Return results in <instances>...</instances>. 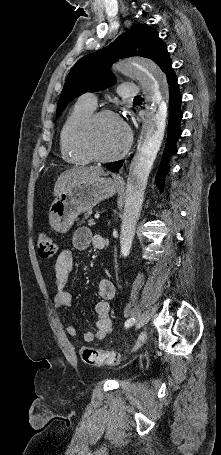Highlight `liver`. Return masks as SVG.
Listing matches in <instances>:
<instances>
[{
	"label": "liver",
	"instance_id": "1",
	"mask_svg": "<svg viewBox=\"0 0 221 455\" xmlns=\"http://www.w3.org/2000/svg\"><path fill=\"white\" fill-rule=\"evenodd\" d=\"M106 175L101 167H73L60 174L55 187L54 196L58 197L67 187L80 181H86Z\"/></svg>",
	"mask_w": 221,
	"mask_h": 455
}]
</instances>
